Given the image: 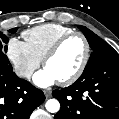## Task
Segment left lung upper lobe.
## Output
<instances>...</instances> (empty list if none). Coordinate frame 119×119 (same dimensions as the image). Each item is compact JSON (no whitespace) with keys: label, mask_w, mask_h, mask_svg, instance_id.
Instances as JSON below:
<instances>
[{"label":"left lung upper lobe","mask_w":119,"mask_h":119,"mask_svg":"<svg viewBox=\"0 0 119 119\" xmlns=\"http://www.w3.org/2000/svg\"><path fill=\"white\" fill-rule=\"evenodd\" d=\"M78 28L83 32L93 50L85 70L90 68L92 65L111 57L112 55L118 54L108 43L88 28L81 25H78Z\"/></svg>","instance_id":"obj_1"}]
</instances>
